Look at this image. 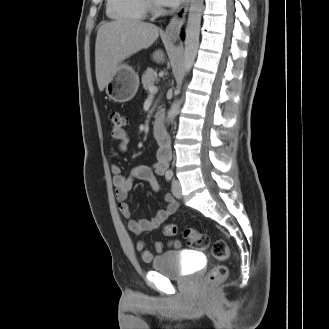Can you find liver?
Segmentation results:
<instances>
[{
	"instance_id": "obj_1",
	"label": "liver",
	"mask_w": 329,
	"mask_h": 329,
	"mask_svg": "<svg viewBox=\"0 0 329 329\" xmlns=\"http://www.w3.org/2000/svg\"><path fill=\"white\" fill-rule=\"evenodd\" d=\"M158 36L156 25L138 20L120 19L102 24L95 43V73L99 90H104L122 61L150 47ZM153 59L163 62V52L155 51Z\"/></svg>"
}]
</instances>
